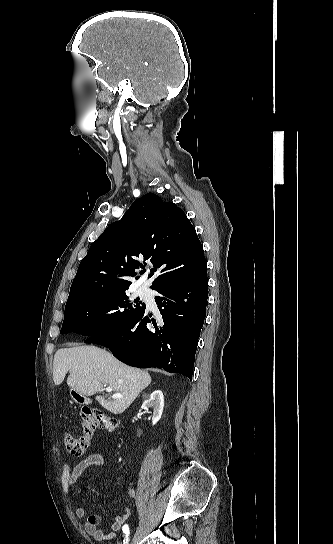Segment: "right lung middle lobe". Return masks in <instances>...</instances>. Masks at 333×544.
I'll list each match as a JSON object with an SVG mask.
<instances>
[{"label": "right lung middle lobe", "mask_w": 333, "mask_h": 544, "mask_svg": "<svg viewBox=\"0 0 333 544\" xmlns=\"http://www.w3.org/2000/svg\"><path fill=\"white\" fill-rule=\"evenodd\" d=\"M145 311L139 298L129 299L127 290L95 293L66 303L60 333L96 336L129 324Z\"/></svg>", "instance_id": "1"}]
</instances>
